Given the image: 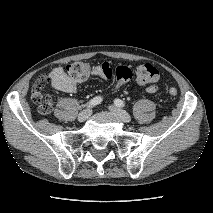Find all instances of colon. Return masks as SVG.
Listing matches in <instances>:
<instances>
[{
    "instance_id": "colon-1",
    "label": "colon",
    "mask_w": 213,
    "mask_h": 213,
    "mask_svg": "<svg viewBox=\"0 0 213 213\" xmlns=\"http://www.w3.org/2000/svg\"><path fill=\"white\" fill-rule=\"evenodd\" d=\"M66 71L71 78L78 82H84L93 76H99L97 66L83 61L69 64ZM104 75L108 79H115L117 88L124 85L133 76H135L138 84L147 87L153 86L160 79L159 70L149 63L138 65L134 70L128 66H118L115 69L105 70ZM48 80L47 76L39 78L31 92L32 100L37 104L38 110L42 114L49 113L52 109V98L45 90ZM167 91L172 97H176L178 94L175 87H169Z\"/></svg>"
}]
</instances>
